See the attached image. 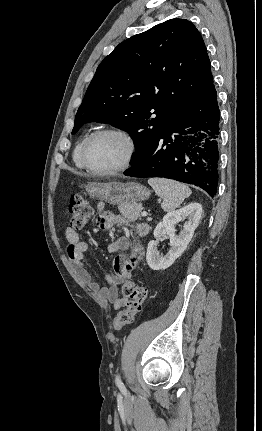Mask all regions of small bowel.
<instances>
[{
    "label": "small bowel",
    "instance_id": "obj_1",
    "mask_svg": "<svg viewBox=\"0 0 262 431\" xmlns=\"http://www.w3.org/2000/svg\"><path fill=\"white\" fill-rule=\"evenodd\" d=\"M99 210L104 208V203L100 202L97 205ZM98 225L101 228L107 229L112 226H127L131 225L135 234L142 238L145 237L149 226L144 221H130L122 216L114 213L104 214L98 219ZM65 238L68 242V259L76 274V276L84 282L100 300L109 302L114 309H120L127 303V298L120 293V285L128 278L132 277V271L137 262L143 256V245L140 241L132 242L127 236L118 237L108 247L111 253H122L130 251L129 255L119 254L114 261L113 274L107 275V284L100 286L92 278L91 273L84 264V254L88 249L86 242L82 241L77 232L66 228Z\"/></svg>",
    "mask_w": 262,
    "mask_h": 431
}]
</instances>
